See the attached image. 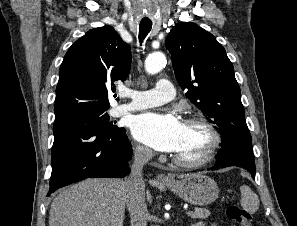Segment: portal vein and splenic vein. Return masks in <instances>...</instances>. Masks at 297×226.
<instances>
[{"label": "portal vein and splenic vein", "mask_w": 297, "mask_h": 226, "mask_svg": "<svg viewBox=\"0 0 297 226\" xmlns=\"http://www.w3.org/2000/svg\"><path fill=\"white\" fill-rule=\"evenodd\" d=\"M192 213H193L192 211H187V212H186V214H187L188 216H190Z\"/></svg>", "instance_id": "obj_1"}]
</instances>
